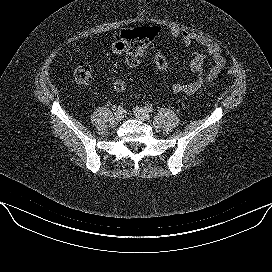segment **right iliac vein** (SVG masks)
Here are the masks:
<instances>
[{"mask_svg":"<svg viewBox=\"0 0 272 272\" xmlns=\"http://www.w3.org/2000/svg\"><path fill=\"white\" fill-rule=\"evenodd\" d=\"M114 117L117 121H121L124 118V114L122 111H116Z\"/></svg>","mask_w":272,"mask_h":272,"instance_id":"1","label":"right iliac vein"}]
</instances>
